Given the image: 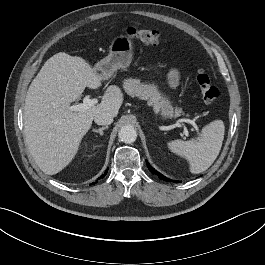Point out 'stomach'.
<instances>
[{"mask_svg": "<svg viewBox=\"0 0 265 265\" xmlns=\"http://www.w3.org/2000/svg\"><path fill=\"white\" fill-rule=\"evenodd\" d=\"M133 41L124 35L116 37L109 48V54L97 62L94 71L102 77L103 80L109 79L118 69H126L133 58ZM162 102H154L158 109L161 110L163 118L170 117L169 111L173 110L172 102L165 97L160 100Z\"/></svg>", "mask_w": 265, "mask_h": 265, "instance_id": "stomach-1", "label": "stomach"}]
</instances>
